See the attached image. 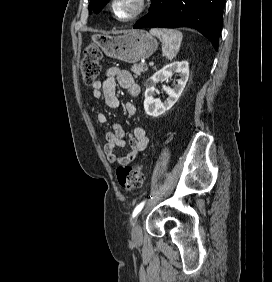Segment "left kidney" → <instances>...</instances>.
Returning a JSON list of instances; mask_svg holds the SVG:
<instances>
[{
    "mask_svg": "<svg viewBox=\"0 0 272 282\" xmlns=\"http://www.w3.org/2000/svg\"><path fill=\"white\" fill-rule=\"evenodd\" d=\"M173 73H179L180 78L177 80V84L174 88L163 86V90L168 94V98L161 102L160 99L154 98L155 93H158L156 85L159 82L168 81ZM189 78V64L187 61H176L165 65L162 69L157 71L150 79L145 83V100L144 109L147 115L152 117H158L169 110L181 96L186 83Z\"/></svg>",
    "mask_w": 272,
    "mask_h": 282,
    "instance_id": "5707ae66",
    "label": "left kidney"
}]
</instances>
